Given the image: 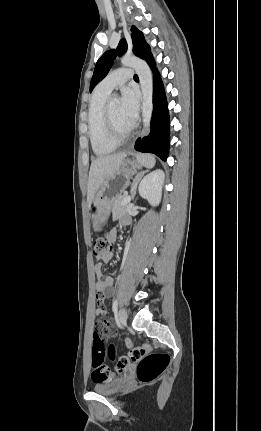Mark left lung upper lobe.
Wrapping results in <instances>:
<instances>
[{"label": "left lung upper lobe", "mask_w": 261, "mask_h": 431, "mask_svg": "<svg viewBox=\"0 0 261 431\" xmlns=\"http://www.w3.org/2000/svg\"><path fill=\"white\" fill-rule=\"evenodd\" d=\"M131 37L133 42V52L143 60H146L150 55V47L146 44L143 33L134 25L131 27ZM127 50V43L122 39L116 50L106 51L97 61L94 73L90 82V92L96 84H98L109 72L116 55H122Z\"/></svg>", "instance_id": "1"}]
</instances>
